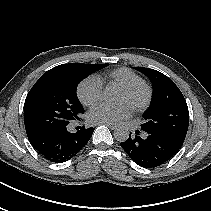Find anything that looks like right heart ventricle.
Listing matches in <instances>:
<instances>
[{
  "label": "right heart ventricle",
  "instance_id": "right-heart-ventricle-1",
  "mask_svg": "<svg viewBox=\"0 0 211 211\" xmlns=\"http://www.w3.org/2000/svg\"><path fill=\"white\" fill-rule=\"evenodd\" d=\"M97 78L102 84H117L121 88L144 82L141 76L126 67L113 69L103 75L97 76Z\"/></svg>",
  "mask_w": 211,
  "mask_h": 211
}]
</instances>
